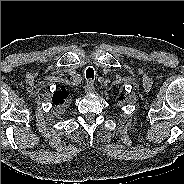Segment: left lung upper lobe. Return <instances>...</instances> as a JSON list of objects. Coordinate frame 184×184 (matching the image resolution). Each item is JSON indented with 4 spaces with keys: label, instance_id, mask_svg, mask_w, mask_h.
I'll list each match as a JSON object with an SVG mask.
<instances>
[{
    "label": "left lung upper lobe",
    "instance_id": "5c2ea615",
    "mask_svg": "<svg viewBox=\"0 0 184 184\" xmlns=\"http://www.w3.org/2000/svg\"><path fill=\"white\" fill-rule=\"evenodd\" d=\"M121 99L123 98V95H121V97H120Z\"/></svg>",
    "mask_w": 184,
    "mask_h": 184
}]
</instances>
